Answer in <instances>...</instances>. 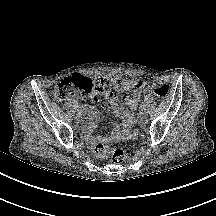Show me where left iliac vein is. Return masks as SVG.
I'll list each match as a JSON object with an SVG mask.
<instances>
[{
  "mask_svg": "<svg viewBox=\"0 0 216 216\" xmlns=\"http://www.w3.org/2000/svg\"><path fill=\"white\" fill-rule=\"evenodd\" d=\"M146 115H147L146 111H144V112H139V119H140V122L144 123L145 118H146Z\"/></svg>",
  "mask_w": 216,
  "mask_h": 216,
  "instance_id": "obj_1",
  "label": "left iliac vein"
}]
</instances>
